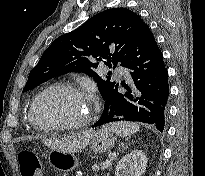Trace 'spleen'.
I'll return each mask as SVG.
<instances>
[{
	"label": "spleen",
	"mask_w": 205,
	"mask_h": 176,
	"mask_svg": "<svg viewBox=\"0 0 205 176\" xmlns=\"http://www.w3.org/2000/svg\"><path fill=\"white\" fill-rule=\"evenodd\" d=\"M104 127L112 132H115L117 135L121 137H127L129 135L136 133L139 130V125L137 123L128 121L113 122Z\"/></svg>",
	"instance_id": "3e777b00"
}]
</instances>
